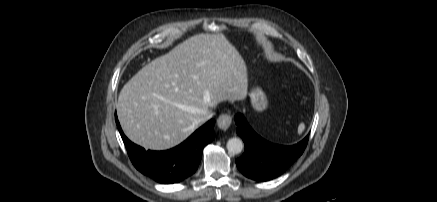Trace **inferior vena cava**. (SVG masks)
Segmentation results:
<instances>
[{"label": "inferior vena cava", "instance_id": "602c4592", "mask_svg": "<svg viewBox=\"0 0 437 202\" xmlns=\"http://www.w3.org/2000/svg\"><path fill=\"white\" fill-rule=\"evenodd\" d=\"M212 115L213 113L211 111H204L199 119L200 123H205L212 117Z\"/></svg>", "mask_w": 437, "mask_h": 202}]
</instances>
